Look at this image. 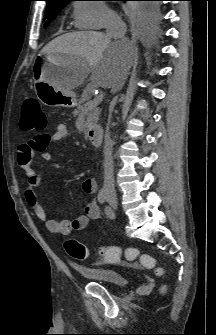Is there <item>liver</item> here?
Segmentation results:
<instances>
[{"label": "liver", "mask_w": 216, "mask_h": 335, "mask_svg": "<svg viewBox=\"0 0 216 335\" xmlns=\"http://www.w3.org/2000/svg\"><path fill=\"white\" fill-rule=\"evenodd\" d=\"M135 47L129 40L112 41L97 31H78L58 36L43 47L41 53L72 58L63 81L58 83L61 90L70 92L80 86L91 73L90 87L121 88L120 76L132 63Z\"/></svg>", "instance_id": "1"}]
</instances>
